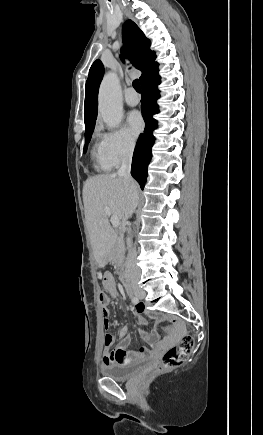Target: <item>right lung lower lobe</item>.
I'll return each instance as SVG.
<instances>
[{"instance_id": "obj_1", "label": "right lung lower lobe", "mask_w": 263, "mask_h": 435, "mask_svg": "<svg viewBox=\"0 0 263 435\" xmlns=\"http://www.w3.org/2000/svg\"><path fill=\"white\" fill-rule=\"evenodd\" d=\"M158 84H160L158 72L141 84V110L145 121V129L139 136L131 168V175L138 181L141 189L144 188L147 180V168L152 157L151 148L155 141L152 131L156 129L157 121L152 116L159 112V106L156 103V100L160 97L157 89Z\"/></svg>"}]
</instances>
